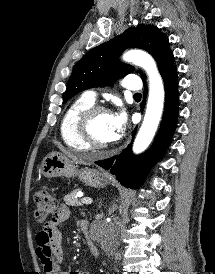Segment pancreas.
Segmentation results:
<instances>
[{
	"mask_svg": "<svg viewBox=\"0 0 215 274\" xmlns=\"http://www.w3.org/2000/svg\"><path fill=\"white\" fill-rule=\"evenodd\" d=\"M81 191V188H77L73 191H71L69 194H67L64 197V201L68 206H81V202L77 198V193Z\"/></svg>",
	"mask_w": 215,
	"mask_h": 274,
	"instance_id": "obj_1",
	"label": "pancreas"
}]
</instances>
